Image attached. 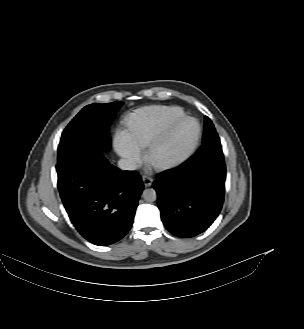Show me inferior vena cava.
<instances>
[{"label": "inferior vena cava", "mask_w": 304, "mask_h": 329, "mask_svg": "<svg viewBox=\"0 0 304 329\" xmlns=\"http://www.w3.org/2000/svg\"><path fill=\"white\" fill-rule=\"evenodd\" d=\"M118 166L122 170H136L138 167L137 163L134 160L128 158L120 159L118 161Z\"/></svg>", "instance_id": "obj_1"}]
</instances>
